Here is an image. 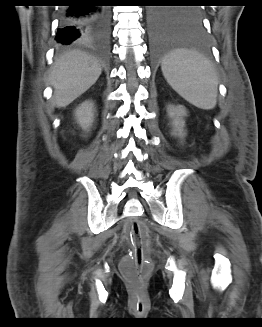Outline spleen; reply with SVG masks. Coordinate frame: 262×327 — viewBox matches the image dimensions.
Returning a JSON list of instances; mask_svg holds the SVG:
<instances>
[{"label":"spleen","instance_id":"3e777b00","mask_svg":"<svg viewBox=\"0 0 262 327\" xmlns=\"http://www.w3.org/2000/svg\"><path fill=\"white\" fill-rule=\"evenodd\" d=\"M161 69L168 84L189 103L201 109L215 107L218 80L209 60L179 49L163 59Z\"/></svg>","mask_w":262,"mask_h":327}]
</instances>
